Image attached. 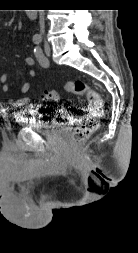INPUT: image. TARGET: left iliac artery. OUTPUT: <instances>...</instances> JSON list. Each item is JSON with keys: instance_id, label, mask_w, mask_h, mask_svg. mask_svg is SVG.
<instances>
[{"instance_id": "44dca946", "label": "left iliac artery", "mask_w": 138, "mask_h": 253, "mask_svg": "<svg viewBox=\"0 0 138 253\" xmlns=\"http://www.w3.org/2000/svg\"><path fill=\"white\" fill-rule=\"evenodd\" d=\"M34 53H35V56H36L37 60L39 61V63L43 67H46L48 64V61H47L46 57L44 56L42 49L40 47H35Z\"/></svg>"}]
</instances>
